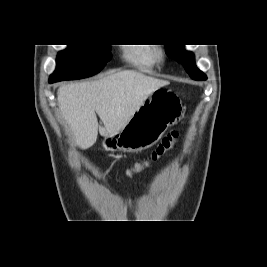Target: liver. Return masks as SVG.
I'll use <instances>...</instances> for the list:
<instances>
[{
  "instance_id": "liver-1",
  "label": "liver",
  "mask_w": 267,
  "mask_h": 267,
  "mask_svg": "<svg viewBox=\"0 0 267 267\" xmlns=\"http://www.w3.org/2000/svg\"><path fill=\"white\" fill-rule=\"evenodd\" d=\"M169 82L133 70L109 74L99 80L62 85L57 91L60 111L81 149L98 136L118 133L147 97ZM96 114L104 126L98 125Z\"/></svg>"
}]
</instances>
